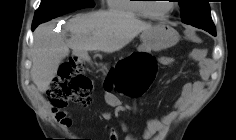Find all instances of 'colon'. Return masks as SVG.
Masks as SVG:
<instances>
[{"mask_svg": "<svg viewBox=\"0 0 236 140\" xmlns=\"http://www.w3.org/2000/svg\"><path fill=\"white\" fill-rule=\"evenodd\" d=\"M157 65L153 58L144 55L122 59L112 71V79L118 91L129 97L143 95L153 82ZM92 83L83 73V65L77 57L66 59L58 75L47 90L49 102L54 111L62 109L69 102L82 106L91 103Z\"/></svg>", "mask_w": 236, "mask_h": 140, "instance_id": "colon-1", "label": "colon"}]
</instances>
